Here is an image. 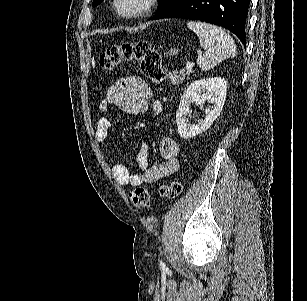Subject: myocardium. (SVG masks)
<instances>
[{
    "label": "myocardium",
    "mask_w": 307,
    "mask_h": 301,
    "mask_svg": "<svg viewBox=\"0 0 307 301\" xmlns=\"http://www.w3.org/2000/svg\"><path fill=\"white\" fill-rule=\"evenodd\" d=\"M154 2L155 0H113L112 11L119 12L122 17H141L149 12Z\"/></svg>",
    "instance_id": "obj_1"
}]
</instances>
